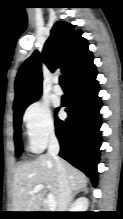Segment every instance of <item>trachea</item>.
<instances>
[{
    "instance_id": "1",
    "label": "trachea",
    "mask_w": 123,
    "mask_h": 219,
    "mask_svg": "<svg viewBox=\"0 0 123 219\" xmlns=\"http://www.w3.org/2000/svg\"><path fill=\"white\" fill-rule=\"evenodd\" d=\"M66 84H67V82H66L65 77L63 75L60 76V85H66Z\"/></svg>"
}]
</instances>
